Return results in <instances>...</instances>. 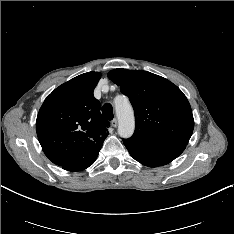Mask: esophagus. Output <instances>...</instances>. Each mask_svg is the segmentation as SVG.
Listing matches in <instances>:
<instances>
[{
	"instance_id": "obj_1",
	"label": "esophagus",
	"mask_w": 234,
	"mask_h": 234,
	"mask_svg": "<svg viewBox=\"0 0 234 234\" xmlns=\"http://www.w3.org/2000/svg\"><path fill=\"white\" fill-rule=\"evenodd\" d=\"M111 125H112L113 127H117V125H118V120H117L116 118H114V119L111 121Z\"/></svg>"
}]
</instances>
